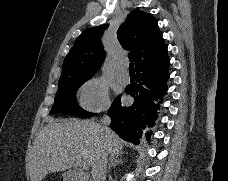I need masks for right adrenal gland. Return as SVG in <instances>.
<instances>
[{
    "label": "right adrenal gland",
    "mask_w": 228,
    "mask_h": 181,
    "mask_svg": "<svg viewBox=\"0 0 228 181\" xmlns=\"http://www.w3.org/2000/svg\"><path fill=\"white\" fill-rule=\"evenodd\" d=\"M119 157H124V153H121V155H111L108 167L106 169L107 173H110L112 167L115 169L117 165H122L123 159H119Z\"/></svg>",
    "instance_id": "obj_1"
}]
</instances>
